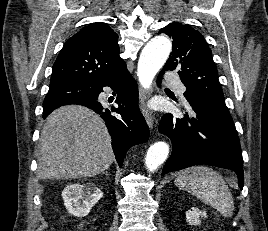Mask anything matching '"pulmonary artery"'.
<instances>
[{"instance_id":"pulmonary-artery-1","label":"pulmonary artery","mask_w":268,"mask_h":231,"mask_svg":"<svg viewBox=\"0 0 268 231\" xmlns=\"http://www.w3.org/2000/svg\"><path fill=\"white\" fill-rule=\"evenodd\" d=\"M166 79H167V80H173V79H175V75H174V73H172V72L168 73V74L166 75ZM171 85H172L174 91H175L177 94H179V95L182 96V97L184 96V93H185V91H186V87H185L183 84H181V83H171Z\"/></svg>"}]
</instances>
